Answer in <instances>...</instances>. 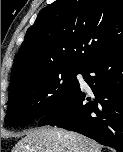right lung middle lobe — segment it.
Here are the masks:
<instances>
[{
    "mask_svg": "<svg viewBox=\"0 0 123 152\" xmlns=\"http://www.w3.org/2000/svg\"><path fill=\"white\" fill-rule=\"evenodd\" d=\"M82 70L65 68L27 77L9 90L5 123L23 125L57 111L79 87L76 74Z\"/></svg>",
    "mask_w": 123,
    "mask_h": 152,
    "instance_id": "1",
    "label": "right lung middle lobe"
}]
</instances>
